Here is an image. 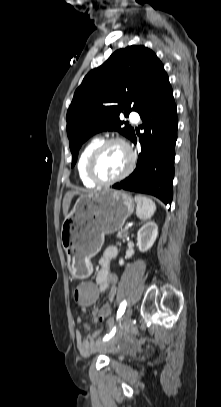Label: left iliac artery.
<instances>
[{
  "label": "left iliac artery",
  "mask_w": 221,
  "mask_h": 407,
  "mask_svg": "<svg viewBox=\"0 0 221 407\" xmlns=\"http://www.w3.org/2000/svg\"><path fill=\"white\" fill-rule=\"evenodd\" d=\"M126 305H127V302H126V301H123V302L120 304L119 309H118V311H117V320L123 315V313H124V311H125V308H126ZM115 329H116V328H114L113 331H112L109 335H106L105 338H104V340H108L109 338H111V337L113 336V334H114Z\"/></svg>",
  "instance_id": "44dca946"
}]
</instances>
